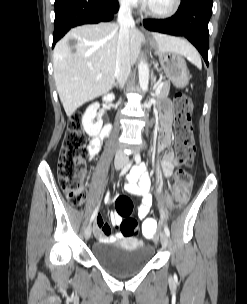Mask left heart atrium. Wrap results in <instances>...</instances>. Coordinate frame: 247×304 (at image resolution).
<instances>
[{"label":"left heart atrium","mask_w":247,"mask_h":304,"mask_svg":"<svg viewBox=\"0 0 247 304\" xmlns=\"http://www.w3.org/2000/svg\"><path fill=\"white\" fill-rule=\"evenodd\" d=\"M143 1L148 2L149 0H143Z\"/></svg>","instance_id":"39dd6f15"}]
</instances>
